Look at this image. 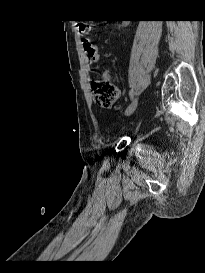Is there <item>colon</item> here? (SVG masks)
Returning a JSON list of instances; mask_svg holds the SVG:
<instances>
[{
	"label": "colon",
	"mask_w": 205,
	"mask_h": 273,
	"mask_svg": "<svg viewBox=\"0 0 205 273\" xmlns=\"http://www.w3.org/2000/svg\"><path fill=\"white\" fill-rule=\"evenodd\" d=\"M78 32L81 35H86L91 31L90 24L78 21L76 23ZM90 86L95 102L104 108L116 106L119 98V89L106 78H93L90 81Z\"/></svg>",
	"instance_id": "colon-1"
}]
</instances>
